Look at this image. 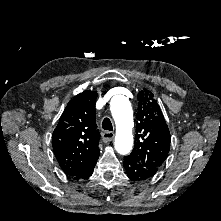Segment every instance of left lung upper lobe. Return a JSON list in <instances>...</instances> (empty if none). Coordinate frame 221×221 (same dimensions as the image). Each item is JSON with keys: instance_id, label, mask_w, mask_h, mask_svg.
<instances>
[{"instance_id": "left-lung-upper-lobe-1", "label": "left lung upper lobe", "mask_w": 221, "mask_h": 221, "mask_svg": "<svg viewBox=\"0 0 221 221\" xmlns=\"http://www.w3.org/2000/svg\"><path fill=\"white\" fill-rule=\"evenodd\" d=\"M135 147L129 155L154 174L170 149V132L154 95L144 89L138 94Z\"/></svg>"}]
</instances>
